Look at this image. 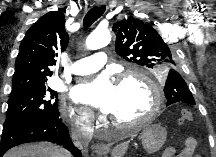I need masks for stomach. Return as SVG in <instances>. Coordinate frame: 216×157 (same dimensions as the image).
Wrapping results in <instances>:
<instances>
[{"instance_id": "0dacf381", "label": "stomach", "mask_w": 216, "mask_h": 157, "mask_svg": "<svg viewBox=\"0 0 216 157\" xmlns=\"http://www.w3.org/2000/svg\"><path fill=\"white\" fill-rule=\"evenodd\" d=\"M166 136L167 131L160 124H153L151 126L144 127L141 132L143 148L149 154L159 151L166 140ZM115 150L113 153H115Z\"/></svg>"}]
</instances>
